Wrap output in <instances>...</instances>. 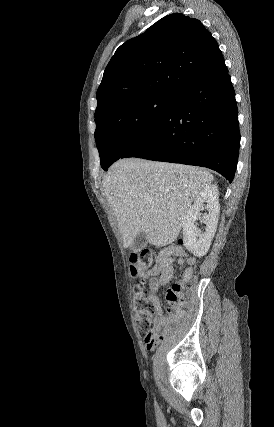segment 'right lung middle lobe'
I'll use <instances>...</instances> for the list:
<instances>
[{
  "label": "right lung middle lobe",
  "mask_w": 274,
  "mask_h": 427,
  "mask_svg": "<svg viewBox=\"0 0 274 427\" xmlns=\"http://www.w3.org/2000/svg\"><path fill=\"white\" fill-rule=\"evenodd\" d=\"M170 94H148L119 101L95 117V140L101 167L108 169L162 119Z\"/></svg>",
  "instance_id": "right-lung-middle-lobe-1"
}]
</instances>
